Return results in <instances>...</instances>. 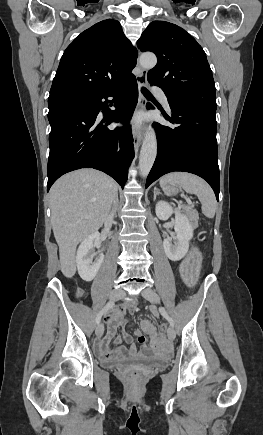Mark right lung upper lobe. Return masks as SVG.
<instances>
[{"mask_svg":"<svg viewBox=\"0 0 263 435\" xmlns=\"http://www.w3.org/2000/svg\"><path fill=\"white\" fill-rule=\"evenodd\" d=\"M137 50L117 20L107 19L82 32L64 51L48 106L79 101L115 88L130 77Z\"/></svg>","mask_w":263,"mask_h":435,"instance_id":"obj_1","label":"right lung upper lobe"}]
</instances>
